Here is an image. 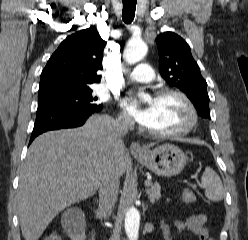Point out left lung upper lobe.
Segmentation results:
<instances>
[{
	"label": "left lung upper lobe",
	"mask_w": 248,
	"mask_h": 240,
	"mask_svg": "<svg viewBox=\"0 0 248 240\" xmlns=\"http://www.w3.org/2000/svg\"><path fill=\"white\" fill-rule=\"evenodd\" d=\"M156 43L161 76L187 95L201 117L210 118L207 83L187 42L173 32H165L157 37Z\"/></svg>",
	"instance_id": "left-lung-upper-lobe-1"
}]
</instances>
